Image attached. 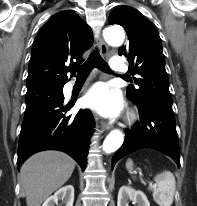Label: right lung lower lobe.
I'll list each match as a JSON object with an SVG mask.
<instances>
[{"label":"right lung lower lobe","mask_w":197,"mask_h":206,"mask_svg":"<svg viewBox=\"0 0 197 206\" xmlns=\"http://www.w3.org/2000/svg\"><path fill=\"white\" fill-rule=\"evenodd\" d=\"M71 106L64 103L62 93L57 99L25 111L19 137L18 168L32 154L54 149L66 152L85 169L93 115L88 109L68 114Z\"/></svg>","instance_id":"obj_1"}]
</instances>
